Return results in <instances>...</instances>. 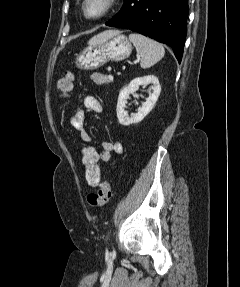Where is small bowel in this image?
I'll list each match as a JSON object with an SVG mask.
<instances>
[{
	"label": "small bowel",
	"mask_w": 240,
	"mask_h": 287,
	"mask_svg": "<svg viewBox=\"0 0 240 287\" xmlns=\"http://www.w3.org/2000/svg\"><path fill=\"white\" fill-rule=\"evenodd\" d=\"M84 107L92 112L100 113L102 112V103L101 101L93 96L87 95L83 100ZM70 125L79 132L80 138L83 142H90L91 136L85 127V113L82 109L75 111L69 118ZM102 151L98 153L99 161L109 162L112 159L113 154L120 155L123 152V146L121 142L114 141H103L101 144Z\"/></svg>",
	"instance_id": "small-bowel-1"
}]
</instances>
